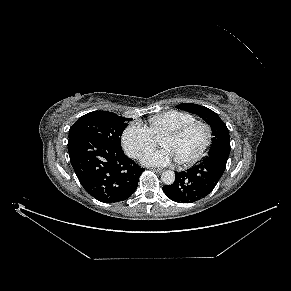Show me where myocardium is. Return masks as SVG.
Instances as JSON below:
<instances>
[{
    "mask_svg": "<svg viewBox=\"0 0 291 291\" xmlns=\"http://www.w3.org/2000/svg\"><path fill=\"white\" fill-rule=\"evenodd\" d=\"M196 127H202L205 131L204 144L201 147V149L199 150V152L196 155H194L192 158L187 159V160H178V163L181 165L190 166V165L197 163L199 160H201L203 158V156L206 154V152L208 151V149L212 143L213 133H212L211 126L204 121L196 120L194 122L183 125L175 130L169 131L162 137V139L166 138V137L179 138Z\"/></svg>",
    "mask_w": 291,
    "mask_h": 291,
    "instance_id": "obj_1",
    "label": "myocardium"
}]
</instances>
